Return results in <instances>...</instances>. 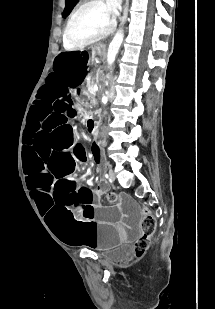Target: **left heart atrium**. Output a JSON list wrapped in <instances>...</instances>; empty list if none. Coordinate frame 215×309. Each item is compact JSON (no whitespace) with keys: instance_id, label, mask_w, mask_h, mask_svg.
Listing matches in <instances>:
<instances>
[{"instance_id":"1","label":"left heart atrium","mask_w":215,"mask_h":309,"mask_svg":"<svg viewBox=\"0 0 215 309\" xmlns=\"http://www.w3.org/2000/svg\"><path fill=\"white\" fill-rule=\"evenodd\" d=\"M106 13L110 19H113L118 10V0H107Z\"/></svg>"}]
</instances>
